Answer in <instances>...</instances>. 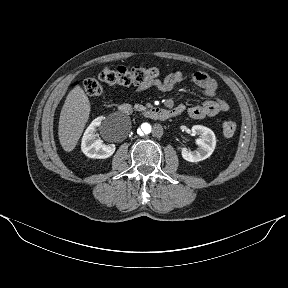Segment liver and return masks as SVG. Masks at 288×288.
I'll return each mask as SVG.
<instances>
[{
    "label": "liver",
    "mask_w": 288,
    "mask_h": 288,
    "mask_svg": "<svg viewBox=\"0 0 288 288\" xmlns=\"http://www.w3.org/2000/svg\"><path fill=\"white\" fill-rule=\"evenodd\" d=\"M90 110L84 90L79 86L74 87L65 100L59 118L58 136L65 151L70 152L75 148L89 119Z\"/></svg>",
    "instance_id": "liver-1"
}]
</instances>
